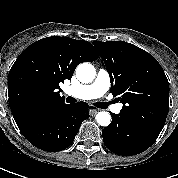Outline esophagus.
Returning a JSON list of instances; mask_svg holds the SVG:
<instances>
[{
	"mask_svg": "<svg viewBox=\"0 0 178 178\" xmlns=\"http://www.w3.org/2000/svg\"><path fill=\"white\" fill-rule=\"evenodd\" d=\"M98 111H99V109H97V108H92V109H90V115H91V116H94Z\"/></svg>",
	"mask_w": 178,
	"mask_h": 178,
	"instance_id": "34e87169",
	"label": "esophagus"
}]
</instances>
